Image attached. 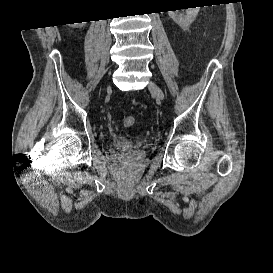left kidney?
<instances>
[{
	"mask_svg": "<svg viewBox=\"0 0 273 273\" xmlns=\"http://www.w3.org/2000/svg\"><path fill=\"white\" fill-rule=\"evenodd\" d=\"M199 9H200L199 7L188 8V9H186V15L179 14L178 13L179 10H173V11H168V15L182 29H185L194 22L197 14L199 12Z\"/></svg>",
	"mask_w": 273,
	"mask_h": 273,
	"instance_id": "obj_1",
	"label": "left kidney"
}]
</instances>
